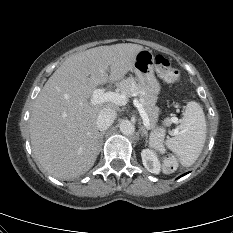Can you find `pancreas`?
I'll list each match as a JSON object with an SVG mask.
<instances>
[{
  "mask_svg": "<svg viewBox=\"0 0 233 233\" xmlns=\"http://www.w3.org/2000/svg\"><path fill=\"white\" fill-rule=\"evenodd\" d=\"M121 93L130 97L132 92H136L140 97V103L142 104L150 122V128L152 129V135L156 139L157 145L161 146V141L164 137V130L157 127L158 116L160 109L155 106L156 99L148 95L143 88L135 81L133 77L124 79L120 83Z\"/></svg>",
  "mask_w": 233,
  "mask_h": 233,
  "instance_id": "cf45deb5",
  "label": "pancreas"
}]
</instances>
